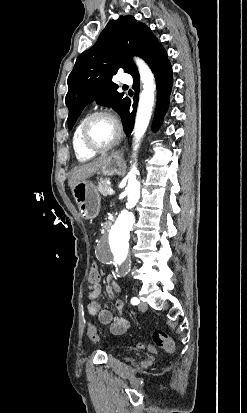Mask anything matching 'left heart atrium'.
<instances>
[{"mask_svg": "<svg viewBox=\"0 0 247 413\" xmlns=\"http://www.w3.org/2000/svg\"><path fill=\"white\" fill-rule=\"evenodd\" d=\"M110 121H111V123H113V124H115V122H116V120L113 118V119H109Z\"/></svg>", "mask_w": 247, "mask_h": 413, "instance_id": "left-heart-atrium-1", "label": "left heart atrium"}]
</instances>
